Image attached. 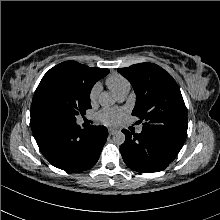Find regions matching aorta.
Instances as JSON below:
<instances>
[{"label":"aorta","instance_id":"1","mask_svg":"<svg viewBox=\"0 0 220 220\" xmlns=\"http://www.w3.org/2000/svg\"><path fill=\"white\" fill-rule=\"evenodd\" d=\"M99 103L102 107L108 108L115 103L114 97L109 93H102L99 97ZM125 134L121 131H117L113 135V141L117 145H121L125 142Z\"/></svg>","mask_w":220,"mask_h":220}]
</instances>
